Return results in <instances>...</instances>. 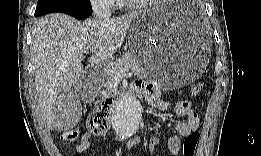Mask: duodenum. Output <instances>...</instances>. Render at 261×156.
I'll return each instance as SVG.
<instances>
[{
    "label": "duodenum",
    "instance_id": "1",
    "mask_svg": "<svg viewBox=\"0 0 261 156\" xmlns=\"http://www.w3.org/2000/svg\"><path fill=\"white\" fill-rule=\"evenodd\" d=\"M127 95L129 98H134L136 95V91L134 89H130L127 91ZM114 100V97H106L104 98V104H108L110 106L114 102Z\"/></svg>",
    "mask_w": 261,
    "mask_h": 156
}]
</instances>
